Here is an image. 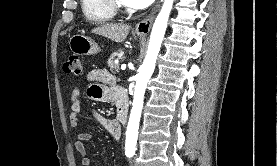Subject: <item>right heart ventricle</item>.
Segmentation results:
<instances>
[{
  "instance_id": "obj_1",
  "label": "right heart ventricle",
  "mask_w": 277,
  "mask_h": 166,
  "mask_svg": "<svg viewBox=\"0 0 277 166\" xmlns=\"http://www.w3.org/2000/svg\"><path fill=\"white\" fill-rule=\"evenodd\" d=\"M85 18L93 23L102 24L113 20L115 13L105 0H80Z\"/></svg>"
}]
</instances>
